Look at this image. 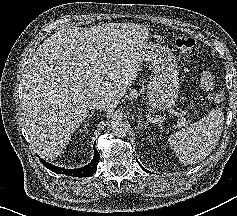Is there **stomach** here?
<instances>
[{
  "label": "stomach",
  "instance_id": "stomach-1",
  "mask_svg": "<svg viewBox=\"0 0 237 216\" xmlns=\"http://www.w3.org/2000/svg\"><path fill=\"white\" fill-rule=\"evenodd\" d=\"M146 60L155 68V78L148 91L149 102L153 109L172 107L179 95L178 74L174 59L168 49L156 44H149L145 49Z\"/></svg>",
  "mask_w": 237,
  "mask_h": 216
}]
</instances>
